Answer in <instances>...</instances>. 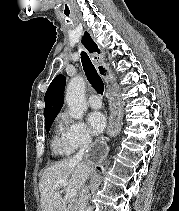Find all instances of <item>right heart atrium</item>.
Returning <instances> with one entry per match:
<instances>
[{
	"instance_id": "1",
	"label": "right heart atrium",
	"mask_w": 179,
	"mask_h": 211,
	"mask_svg": "<svg viewBox=\"0 0 179 211\" xmlns=\"http://www.w3.org/2000/svg\"><path fill=\"white\" fill-rule=\"evenodd\" d=\"M61 120V138L70 152L91 143L92 135L82 121L72 119L65 114Z\"/></svg>"
}]
</instances>
